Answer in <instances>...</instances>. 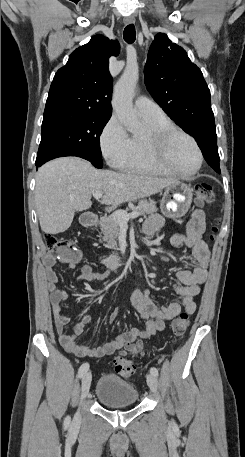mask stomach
Masks as SVG:
<instances>
[{
    "label": "stomach",
    "mask_w": 245,
    "mask_h": 457,
    "mask_svg": "<svg viewBox=\"0 0 245 457\" xmlns=\"http://www.w3.org/2000/svg\"><path fill=\"white\" fill-rule=\"evenodd\" d=\"M193 190L190 184L185 182H172L165 186L164 194L161 200V212L168 218H181L186 214L192 202ZM90 224V222H86Z\"/></svg>",
    "instance_id": "0dacf381"
}]
</instances>
